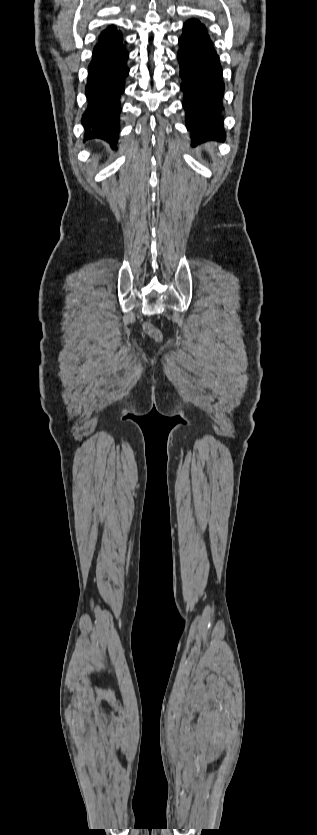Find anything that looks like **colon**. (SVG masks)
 Returning a JSON list of instances; mask_svg holds the SVG:
<instances>
[{"label":"colon","mask_w":317,"mask_h":835,"mask_svg":"<svg viewBox=\"0 0 317 835\" xmlns=\"http://www.w3.org/2000/svg\"><path fill=\"white\" fill-rule=\"evenodd\" d=\"M143 329H144L145 333L148 336H150L151 338H153L154 340H156V341L161 340L162 334H161L160 330L158 328H156L150 322H145L144 325H143Z\"/></svg>","instance_id":"5ec220e1"}]
</instances>
